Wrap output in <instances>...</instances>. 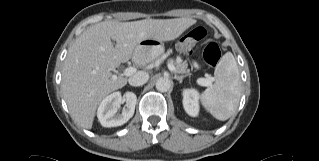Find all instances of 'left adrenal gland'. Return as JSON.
<instances>
[{
  "instance_id": "obj_1",
  "label": "left adrenal gland",
  "mask_w": 319,
  "mask_h": 161,
  "mask_svg": "<svg viewBox=\"0 0 319 161\" xmlns=\"http://www.w3.org/2000/svg\"><path fill=\"white\" fill-rule=\"evenodd\" d=\"M184 77H185V76H178V75H175V76H174V78H175L176 80H178L179 83H182Z\"/></svg>"
}]
</instances>
